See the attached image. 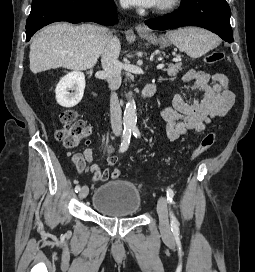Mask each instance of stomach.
Wrapping results in <instances>:
<instances>
[{
    "label": "stomach",
    "mask_w": 255,
    "mask_h": 272,
    "mask_svg": "<svg viewBox=\"0 0 255 272\" xmlns=\"http://www.w3.org/2000/svg\"><path fill=\"white\" fill-rule=\"evenodd\" d=\"M141 38L145 39L149 43L153 45H159L160 47L164 48L169 45V39L165 35H160L157 37L155 34H139Z\"/></svg>",
    "instance_id": "stomach-1"
}]
</instances>
